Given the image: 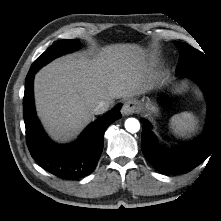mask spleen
<instances>
[{"label":"spleen","mask_w":221,"mask_h":221,"mask_svg":"<svg viewBox=\"0 0 221 221\" xmlns=\"http://www.w3.org/2000/svg\"><path fill=\"white\" fill-rule=\"evenodd\" d=\"M198 121L191 112L175 114L170 119V129L178 137L189 136L197 128Z\"/></svg>","instance_id":"1"}]
</instances>
